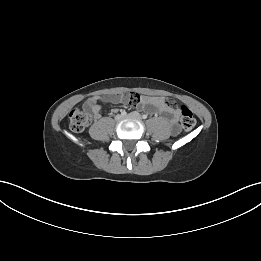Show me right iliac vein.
Listing matches in <instances>:
<instances>
[{
	"label": "right iliac vein",
	"mask_w": 261,
	"mask_h": 261,
	"mask_svg": "<svg viewBox=\"0 0 261 261\" xmlns=\"http://www.w3.org/2000/svg\"><path fill=\"white\" fill-rule=\"evenodd\" d=\"M122 118H123V116L120 115V114H118V115L115 116V120H116V121H120Z\"/></svg>",
	"instance_id": "obj_1"
}]
</instances>
